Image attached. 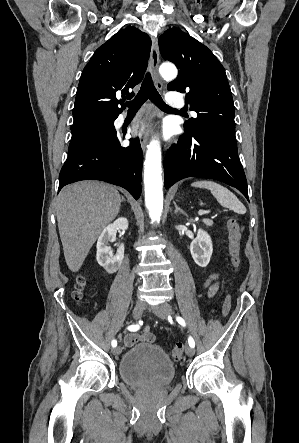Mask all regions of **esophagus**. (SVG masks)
<instances>
[{"mask_svg":"<svg viewBox=\"0 0 299 443\" xmlns=\"http://www.w3.org/2000/svg\"><path fill=\"white\" fill-rule=\"evenodd\" d=\"M159 46H158V40L157 38L152 39V47H151V54H150V71L153 75L155 85L158 90H162V82L158 75V65H159ZM151 109L149 107H146L145 109V115L142 121L140 122V127L138 131V137L140 140V144L143 150H145L150 129H151Z\"/></svg>","mask_w":299,"mask_h":443,"instance_id":"esophagus-1","label":"esophagus"}]
</instances>
